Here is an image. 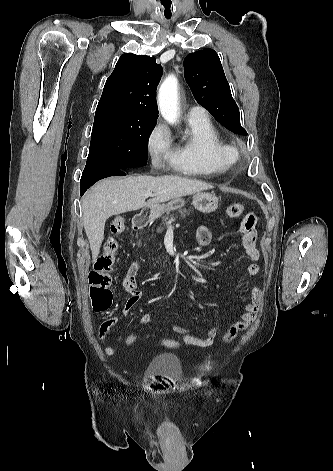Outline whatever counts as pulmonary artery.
I'll return each instance as SVG.
<instances>
[{
  "instance_id": "obj_1",
  "label": "pulmonary artery",
  "mask_w": 333,
  "mask_h": 471,
  "mask_svg": "<svg viewBox=\"0 0 333 471\" xmlns=\"http://www.w3.org/2000/svg\"><path fill=\"white\" fill-rule=\"evenodd\" d=\"M205 113L206 112H205L204 108H202L200 106H191L188 109L187 116H188V118H197V117L205 115Z\"/></svg>"
}]
</instances>
